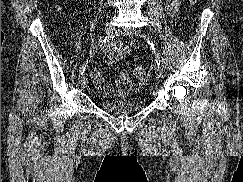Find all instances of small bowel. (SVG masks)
Returning <instances> with one entry per match:
<instances>
[{"label":"small bowel","mask_w":243,"mask_h":182,"mask_svg":"<svg viewBox=\"0 0 243 182\" xmlns=\"http://www.w3.org/2000/svg\"><path fill=\"white\" fill-rule=\"evenodd\" d=\"M179 4L180 0H166L165 10L169 17H174L177 15ZM102 52L107 57L109 63L113 64L124 55L128 54L130 49L127 45L120 41H112L102 47ZM90 74L93 84L97 89L111 88L115 93H123L124 90L130 91L134 88V84L130 80L128 73L125 70H120L117 73L116 80L111 87L104 86V78L98 67H92Z\"/></svg>","instance_id":"obj_1"}]
</instances>
